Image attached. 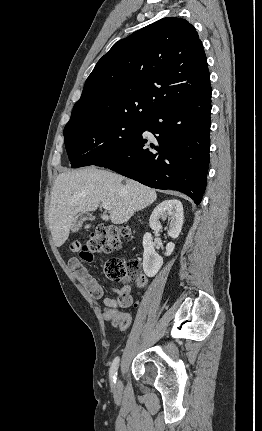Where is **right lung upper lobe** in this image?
Here are the masks:
<instances>
[{
	"label": "right lung upper lobe",
	"mask_w": 262,
	"mask_h": 431,
	"mask_svg": "<svg viewBox=\"0 0 262 431\" xmlns=\"http://www.w3.org/2000/svg\"><path fill=\"white\" fill-rule=\"evenodd\" d=\"M209 76L195 28L182 18H163L119 40L98 61L66 126L147 118L200 93Z\"/></svg>",
	"instance_id": "obj_1"
}]
</instances>
